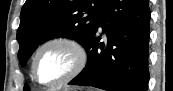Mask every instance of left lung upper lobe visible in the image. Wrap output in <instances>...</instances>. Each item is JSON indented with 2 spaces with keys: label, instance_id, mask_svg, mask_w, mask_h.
Listing matches in <instances>:
<instances>
[{
  "label": "left lung upper lobe",
  "instance_id": "obj_1",
  "mask_svg": "<svg viewBox=\"0 0 173 91\" xmlns=\"http://www.w3.org/2000/svg\"><path fill=\"white\" fill-rule=\"evenodd\" d=\"M107 0H26L20 14L17 40L22 66L40 43L55 37L89 43ZM27 86H25V90Z\"/></svg>",
  "mask_w": 173,
  "mask_h": 91
}]
</instances>
